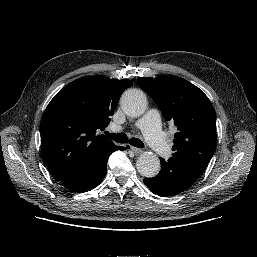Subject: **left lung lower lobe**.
<instances>
[{"mask_svg": "<svg viewBox=\"0 0 257 257\" xmlns=\"http://www.w3.org/2000/svg\"><path fill=\"white\" fill-rule=\"evenodd\" d=\"M160 160L159 174L153 178H145L144 183L151 192L162 197L174 196L188 189L204 171L179 157Z\"/></svg>", "mask_w": 257, "mask_h": 257, "instance_id": "obj_1", "label": "left lung lower lobe"}]
</instances>
